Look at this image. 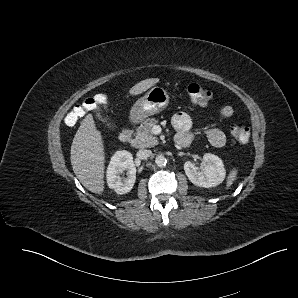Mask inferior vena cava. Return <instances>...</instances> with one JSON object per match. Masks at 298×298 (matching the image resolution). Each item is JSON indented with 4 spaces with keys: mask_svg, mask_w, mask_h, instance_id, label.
Listing matches in <instances>:
<instances>
[{
    "mask_svg": "<svg viewBox=\"0 0 298 298\" xmlns=\"http://www.w3.org/2000/svg\"><path fill=\"white\" fill-rule=\"evenodd\" d=\"M151 154H152L151 150L142 149L137 152L136 156L138 159L144 160V159L149 158L151 156Z\"/></svg>",
    "mask_w": 298,
    "mask_h": 298,
    "instance_id": "obj_1",
    "label": "inferior vena cava"
}]
</instances>
